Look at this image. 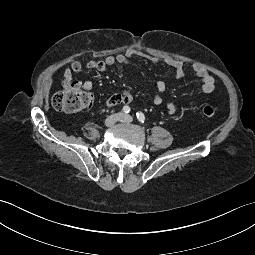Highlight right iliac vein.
<instances>
[{"instance_id": "1", "label": "right iliac vein", "mask_w": 255, "mask_h": 255, "mask_svg": "<svg viewBox=\"0 0 255 255\" xmlns=\"http://www.w3.org/2000/svg\"><path fill=\"white\" fill-rule=\"evenodd\" d=\"M122 117L121 113L110 115L105 120V126L111 127L113 126L117 121H119Z\"/></svg>"}]
</instances>
